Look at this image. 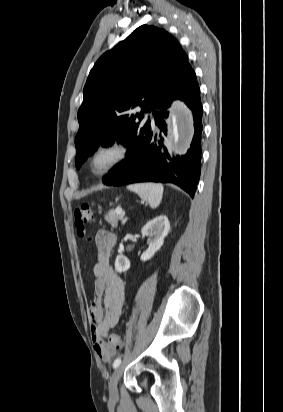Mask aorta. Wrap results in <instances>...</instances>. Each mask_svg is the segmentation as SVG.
Returning <instances> with one entry per match:
<instances>
[{
  "mask_svg": "<svg viewBox=\"0 0 283 412\" xmlns=\"http://www.w3.org/2000/svg\"><path fill=\"white\" fill-rule=\"evenodd\" d=\"M192 131L191 115L188 109L180 108L173 118L172 136L175 143L178 142L180 134L189 136Z\"/></svg>",
  "mask_w": 283,
  "mask_h": 412,
  "instance_id": "obj_1",
  "label": "aorta"
}]
</instances>
